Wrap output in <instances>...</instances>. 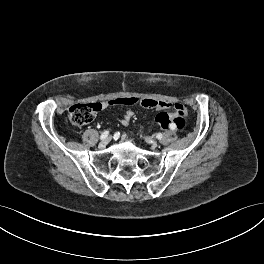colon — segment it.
<instances>
[{
	"mask_svg": "<svg viewBox=\"0 0 264 264\" xmlns=\"http://www.w3.org/2000/svg\"><path fill=\"white\" fill-rule=\"evenodd\" d=\"M132 100L128 97L116 98L109 101L111 105H130ZM102 108L101 103H91V104H75L70 107L68 120L71 125L76 127L84 126L90 123L95 114ZM186 110L180 105L176 107L175 111L172 113L160 112L155 118L156 124L162 128L167 129L171 124H174L178 130H182L186 124Z\"/></svg>",
	"mask_w": 264,
	"mask_h": 264,
	"instance_id": "5ec220e1",
	"label": "colon"
}]
</instances>
